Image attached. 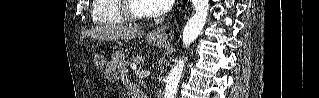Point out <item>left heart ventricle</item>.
I'll return each mask as SVG.
<instances>
[{"label": "left heart ventricle", "instance_id": "1", "mask_svg": "<svg viewBox=\"0 0 319 98\" xmlns=\"http://www.w3.org/2000/svg\"><path fill=\"white\" fill-rule=\"evenodd\" d=\"M130 9L135 14H145L147 11L145 10L142 1L133 0L130 1Z\"/></svg>", "mask_w": 319, "mask_h": 98}]
</instances>
